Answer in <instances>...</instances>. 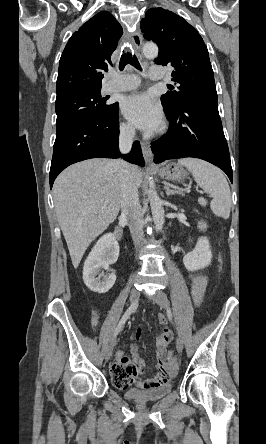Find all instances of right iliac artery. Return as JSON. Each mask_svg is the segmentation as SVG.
<instances>
[{
    "label": "right iliac artery",
    "instance_id": "1",
    "mask_svg": "<svg viewBox=\"0 0 266 444\" xmlns=\"http://www.w3.org/2000/svg\"><path fill=\"white\" fill-rule=\"evenodd\" d=\"M138 307V301L134 302L131 304V306L126 310V312L124 313V315L122 316V318L120 319L115 331H114V335L113 337L115 338L118 333L121 331V329L124 327L125 322L127 321V319L130 317L131 313L134 312Z\"/></svg>",
    "mask_w": 266,
    "mask_h": 444
}]
</instances>
